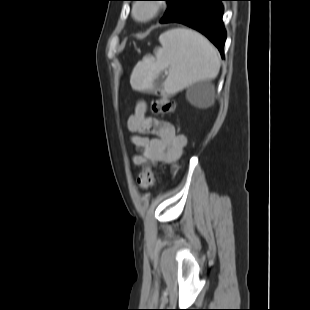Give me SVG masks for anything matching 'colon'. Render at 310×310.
Returning a JSON list of instances; mask_svg holds the SVG:
<instances>
[{"label": "colon", "instance_id": "5ec220e1", "mask_svg": "<svg viewBox=\"0 0 310 310\" xmlns=\"http://www.w3.org/2000/svg\"><path fill=\"white\" fill-rule=\"evenodd\" d=\"M174 101L164 94H158L151 103V109L156 114H170L174 110ZM155 172L151 165L145 164L137 177V185L141 189H148L154 184Z\"/></svg>", "mask_w": 310, "mask_h": 310}]
</instances>
